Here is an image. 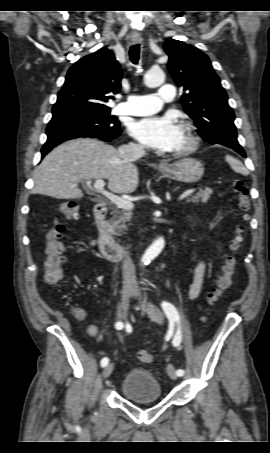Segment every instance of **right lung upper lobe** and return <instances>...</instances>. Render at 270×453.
Returning <instances> with one entry per match:
<instances>
[{
  "instance_id": "obj_1",
  "label": "right lung upper lobe",
  "mask_w": 270,
  "mask_h": 453,
  "mask_svg": "<svg viewBox=\"0 0 270 453\" xmlns=\"http://www.w3.org/2000/svg\"><path fill=\"white\" fill-rule=\"evenodd\" d=\"M122 70L107 48L87 55L68 70L52 109L53 118L87 111L110 110L109 99L121 88Z\"/></svg>"
}]
</instances>
